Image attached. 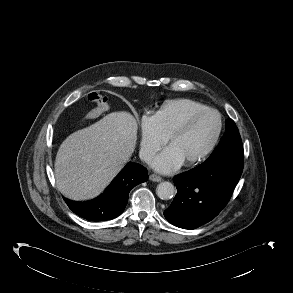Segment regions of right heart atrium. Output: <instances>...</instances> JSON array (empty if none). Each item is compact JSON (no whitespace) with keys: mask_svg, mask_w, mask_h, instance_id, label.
<instances>
[{"mask_svg":"<svg viewBox=\"0 0 293 293\" xmlns=\"http://www.w3.org/2000/svg\"><path fill=\"white\" fill-rule=\"evenodd\" d=\"M166 138L157 128L153 115L144 114L140 119V156L149 162L165 144Z\"/></svg>","mask_w":293,"mask_h":293,"instance_id":"1","label":"right heart atrium"}]
</instances>
